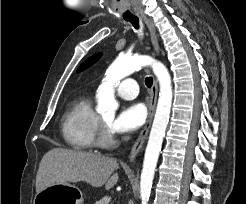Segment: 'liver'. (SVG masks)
<instances>
[{"mask_svg":"<svg viewBox=\"0 0 246 204\" xmlns=\"http://www.w3.org/2000/svg\"><path fill=\"white\" fill-rule=\"evenodd\" d=\"M114 158L79 150L53 148L42 158L36 176V192L63 183L86 182L93 187L105 185L109 190L118 181Z\"/></svg>","mask_w":246,"mask_h":204,"instance_id":"6515ba94","label":"liver"}]
</instances>
